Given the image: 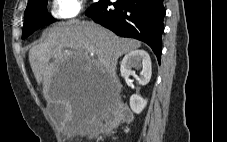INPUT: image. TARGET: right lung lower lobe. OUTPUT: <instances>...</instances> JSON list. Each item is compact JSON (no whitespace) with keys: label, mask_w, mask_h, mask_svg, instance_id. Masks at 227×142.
Here are the masks:
<instances>
[{"label":"right lung lower lobe","mask_w":227,"mask_h":142,"mask_svg":"<svg viewBox=\"0 0 227 142\" xmlns=\"http://www.w3.org/2000/svg\"><path fill=\"white\" fill-rule=\"evenodd\" d=\"M108 4H111L109 0H99L86 15L117 35L147 43L160 62L165 16L163 0H117L113 3L115 9H109Z\"/></svg>","instance_id":"1"}]
</instances>
